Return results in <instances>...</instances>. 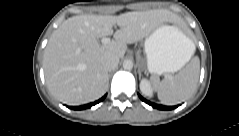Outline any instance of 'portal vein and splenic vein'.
I'll return each mask as SVG.
<instances>
[{
  "instance_id": "1",
  "label": "portal vein and splenic vein",
  "mask_w": 239,
  "mask_h": 136,
  "mask_svg": "<svg viewBox=\"0 0 239 136\" xmlns=\"http://www.w3.org/2000/svg\"><path fill=\"white\" fill-rule=\"evenodd\" d=\"M110 41H111V40H110V38H108V37H104V38H102V40H101L102 44H108Z\"/></svg>"
}]
</instances>
